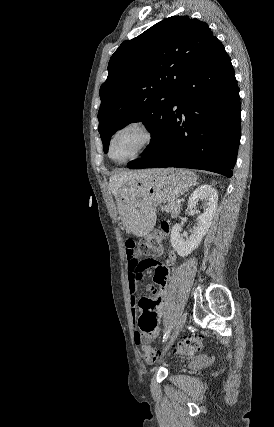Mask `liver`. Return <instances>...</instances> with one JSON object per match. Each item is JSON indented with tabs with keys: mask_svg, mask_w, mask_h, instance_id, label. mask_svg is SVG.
I'll return each mask as SVG.
<instances>
[{
	"mask_svg": "<svg viewBox=\"0 0 274 427\" xmlns=\"http://www.w3.org/2000/svg\"><path fill=\"white\" fill-rule=\"evenodd\" d=\"M154 172L155 170H138V172H118V174L111 176L109 186L113 196H115L117 200L118 208L121 206L120 202L126 200L125 196L127 190H132L134 176L143 180L144 176H147V174H154Z\"/></svg>",
	"mask_w": 274,
	"mask_h": 427,
	"instance_id": "obj_1",
	"label": "liver"
}]
</instances>
